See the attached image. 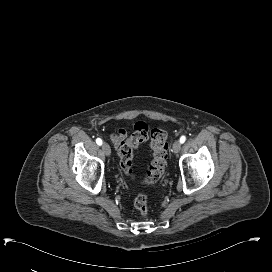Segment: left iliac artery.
<instances>
[{
    "mask_svg": "<svg viewBox=\"0 0 272 272\" xmlns=\"http://www.w3.org/2000/svg\"><path fill=\"white\" fill-rule=\"evenodd\" d=\"M185 140H186V137L183 135V136H181V138H180V142L181 143H184L185 142Z\"/></svg>",
    "mask_w": 272,
    "mask_h": 272,
    "instance_id": "44dca946",
    "label": "left iliac artery"
}]
</instances>
